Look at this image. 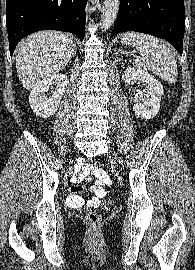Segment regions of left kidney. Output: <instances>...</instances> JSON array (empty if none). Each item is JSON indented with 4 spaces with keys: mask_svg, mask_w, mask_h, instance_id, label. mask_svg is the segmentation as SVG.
I'll return each mask as SVG.
<instances>
[{
    "mask_svg": "<svg viewBox=\"0 0 195 270\" xmlns=\"http://www.w3.org/2000/svg\"><path fill=\"white\" fill-rule=\"evenodd\" d=\"M122 79L128 85L137 81L146 85L143 90H136L133 111L137 117L146 120L155 117L159 112L163 95L162 84L147 71L134 67L126 68Z\"/></svg>",
    "mask_w": 195,
    "mask_h": 270,
    "instance_id": "obj_1",
    "label": "left kidney"
}]
</instances>
